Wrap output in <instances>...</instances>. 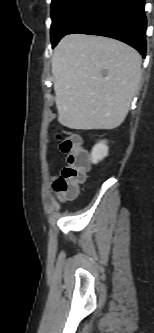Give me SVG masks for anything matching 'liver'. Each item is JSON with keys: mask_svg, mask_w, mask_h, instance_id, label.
<instances>
[{"mask_svg": "<svg viewBox=\"0 0 154 333\" xmlns=\"http://www.w3.org/2000/svg\"><path fill=\"white\" fill-rule=\"evenodd\" d=\"M140 54L107 37H63L52 58L58 121L70 129H114L141 80Z\"/></svg>", "mask_w": 154, "mask_h": 333, "instance_id": "liver-1", "label": "liver"}]
</instances>
